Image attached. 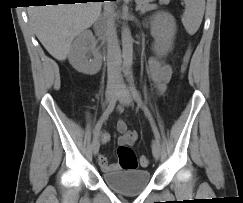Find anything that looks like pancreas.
<instances>
[{"label": "pancreas", "mask_w": 243, "mask_h": 203, "mask_svg": "<svg viewBox=\"0 0 243 203\" xmlns=\"http://www.w3.org/2000/svg\"><path fill=\"white\" fill-rule=\"evenodd\" d=\"M137 5L141 8L142 12L149 11L151 9H154L152 5L149 4V2H152L153 0H135ZM170 0H161V3L168 4Z\"/></svg>", "instance_id": "obj_1"}]
</instances>
